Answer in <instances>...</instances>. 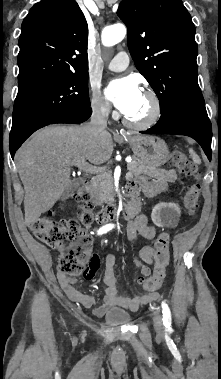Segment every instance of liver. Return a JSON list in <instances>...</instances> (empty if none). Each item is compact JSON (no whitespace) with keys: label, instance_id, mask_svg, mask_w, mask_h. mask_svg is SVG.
Returning <instances> with one entry per match:
<instances>
[{"label":"liver","instance_id":"liver-1","mask_svg":"<svg viewBox=\"0 0 221 379\" xmlns=\"http://www.w3.org/2000/svg\"><path fill=\"white\" fill-rule=\"evenodd\" d=\"M112 152L107 131L94 135L85 126H49L35 132L16 153L26 224L34 223L59 200L70 183L71 166L82 161L103 164Z\"/></svg>","mask_w":221,"mask_h":379}]
</instances>
